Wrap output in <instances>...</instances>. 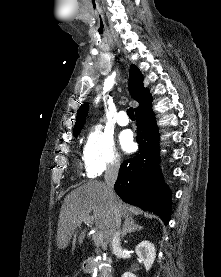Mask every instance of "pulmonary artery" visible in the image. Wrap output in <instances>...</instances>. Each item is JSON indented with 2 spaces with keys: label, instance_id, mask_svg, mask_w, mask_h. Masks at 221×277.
<instances>
[{
  "label": "pulmonary artery",
  "instance_id": "e3ab8cb5",
  "mask_svg": "<svg viewBox=\"0 0 221 277\" xmlns=\"http://www.w3.org/2000/svg\"><path fill=\"white\" fill-rule=\"evenodd\" d=\"M116 121L120 126H127L129 124V119L125 111H120L116 116Z\"/></svg>",
  "mask_w": 221,
  "mask_h": 277
}]
</instances>
